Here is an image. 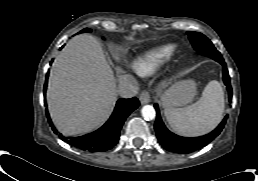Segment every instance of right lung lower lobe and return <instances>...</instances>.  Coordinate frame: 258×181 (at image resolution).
I'll return each instance as SVG.
<instances>
[{
    "instance_id": "obj_1",
    "label": "right lung lower lobe",
    "mask_w": 258,
    "mask_h": 181,
    "mask_svg": "<svg viewBox=\"0 0 258 181\" xmlns=\"http://www.w3.org/2000/svg\"><path fill=\"white\" fill-rule=\"evenodd\" d=\"M47 80L48 77H46V83L44 85V96L46 95ZM138 106L139 101L135 97L130 99H119L110 119L100 129L80 137L67 138L61 134L59 136L63 141L83 151L103 152L109 150L117 144L120 130L127 116ZM47 116L52 129L54 132H57L48 113Z\"/></svg>"
}]
</instances>
